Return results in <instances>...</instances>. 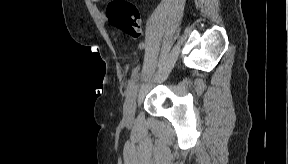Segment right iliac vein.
Wrapping results in <instances>:
<instances>
[{
  "instance_id": "obj_1",
  "label": "right iliac vein",
  "mask_w": 288,
  "mask_h": 164,
  "mask_svg": "<svg viewBox=\"0 0 288 164\" xmlns=\"http://www.w3.org/2000/svg\"><path fill=\"white\" fill-rule=\"evenodd\" d=\"M142 75H140L141 77ZM138 91V84L134 85L125 105H124V119L131 121L133 119L136 108V97Z\"/></svg>"
}]
</instances>
